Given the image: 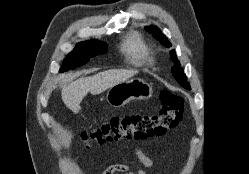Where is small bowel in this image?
I'll use <instances>...</instances> for the list:
<instances>
[{
  "instance_id": "small-bowel-1",
  "label": "small bowel",
  "mask_w": 249,
  "mask_h": 174,
  "mask_svg": "<svg viewBox=\"0 0 249 174\" xmlns=\"http://www.w3.org/2000/svg\"><path fill=\"white\" fill-rule=\"evenodd\" d=\"M136 156L139 161L145 167H152L154 165V160L148 157L141 149L136 150ZM117 173H125V174H145L143 170L137 169L136 171H130L129 167L125 164H113L107 167L102 174H117Z\"/></svg>"
}]
</instances>
